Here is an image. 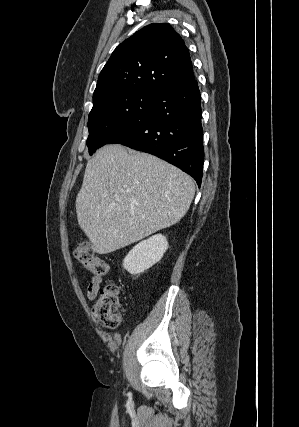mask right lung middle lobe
I'll list each match as a JSON object with an SVG mask.
<instances>
[{
	"instance_id": "1",
	"label": "right lung middle lobe",
	"mask_w": 299,
	"mask_h": 427,
	"mask_svg": "<svg viewBox=\"0 0 299 427\" xmlns=\"http://www.w3.org/2000/svg\"><path fill=\"white\" fill-rule=\"evenodd\" d=\"M154 97L140 93H117L95 103L89 114L87 146L92 155L96 149L126 130L145 112Z\"/></svg>"
}]
</instances>
